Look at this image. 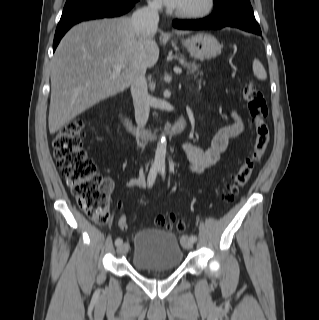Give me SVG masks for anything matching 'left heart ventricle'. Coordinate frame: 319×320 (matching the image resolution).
<instances>
[{"instance_id":"1","label":"left heart ventricle","mask_w":319,"mask_h":320,"mask_svg":"<svg viewBox=\"0 0 319 320\" xmlns=\"http://www.w3.org/2000/svg\"><path fill=\"white\" fill-rule=\"evenodd\" d=\"M204 0H185L184 4L178 10L190 11L198 9L202 6Z\"/></svg>"}]
</instances>
